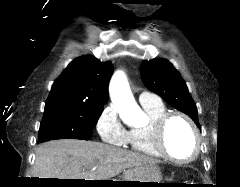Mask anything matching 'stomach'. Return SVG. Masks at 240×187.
Segmentation results:
<instances>
[{"label": "stomach", "mask_w": 240, "mask_h": 187, "mask_svg": "<svg viewBox=\"0 0 240 187\" xmlns=\"http://www.w3.org/2000/svg\"><path fill=\"white\" fill-rule=\"evenodd\" d=\"M130 181L124 182L123 186H144L156 187L158 183H162V172L156 164H147L141 167L127 170L124 173L123 180ZM139 182H157V183H139ZM134 184V185H132Z\"/></svg>", "instance_id": "stomach-1"}]
</instances>
